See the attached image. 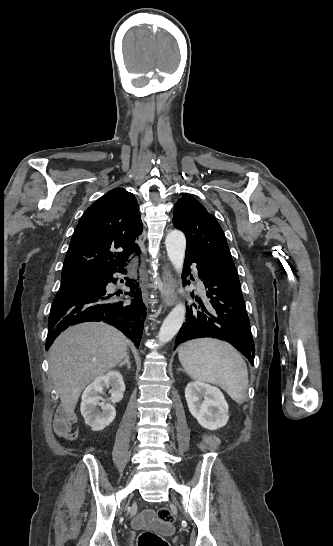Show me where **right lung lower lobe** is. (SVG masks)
I'll return each instance as SVG.
<instances>
[{
    "label": "right lung lower lobe",
    "mask_w": 333,
    "mask_h": 546,
    "mask_svg": "<svg viewBox=\"0 0 333 546\" xmlns=\"http://www.w3.org/2000/svg\"><path fill=\"white\" fill-rule=\"evenodd\" d=\"M126 266V264H125ZM115 272L126 273L124 267L77 279L60 286L52 303L46 349L67 327L82 322L103 321L122 331L139 347L146 307L138 282L126 278L130 298L118 300L106 291L108 283H116Z\"/></svg>",
    "instance_id": "1"
}]
</instances>
